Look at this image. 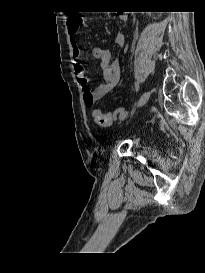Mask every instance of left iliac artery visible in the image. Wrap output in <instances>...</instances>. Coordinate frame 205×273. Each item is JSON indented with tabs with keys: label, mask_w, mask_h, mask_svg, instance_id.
I'll use <instances>...</instances> for the list:
<instances>
[{
	"label": "left iliac artery",
	"mask_w": 205,
	"mask_h": 273,
	"mask_svg": "<svg viewBox=\"0 0 205 273\" xmlns=\"http://www.w3.org/2000/svg\"><path fill=\"white\" fill-rule=\"evenodd\" d=\"M135 89H136V91L139 90V84H138V82L135 83Z\"/></svg>",
	"instance_id": "obj_1"
}]
</instances>
